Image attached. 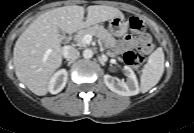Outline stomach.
<instances>
[{
	"instance_id": "obj_1",
	"label": "stomach",
	"mask_w": 194,
	"mask_h": 133,
	"mask_svg": "<svg viewBox=\"0 0 194 133\" xmlns=\"http://www.w3.org/2000/svg\"><path fill=\"white\" fill-rule=\"evenodd\" d=\"M108 29L111 35L121 37L127 32L128 27L123 16H116L109 20Z\"/></svg>"
}]
</instances>
